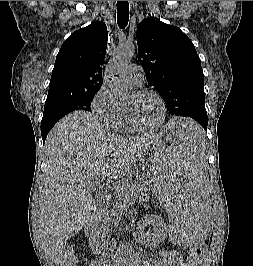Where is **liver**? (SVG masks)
Returning <instances> with one entry per match:
<instances>
[{
    "label": "liver",
    "mask_w": 253,
    "mask_h": 266,
    "mask_svg": "<svg viewBox=\"0 0 253 266\" xmlns=\"http://www.w3.org/2000/svg\"><path fill=\"white\" fill-rule=\"evenodd\" d=\"M158 136L122 137L85 111L55 124L46 142L47 172L38 223L50 258L58 263L69 238L92 222L93 178L121 186L133 164Z\"/></svg>",
    "instance_id": "1"
}]
</instances>
